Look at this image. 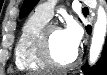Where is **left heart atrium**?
<instances>
[{"instance_id":"left-heart-atrium-1","label":"left heart atrium","mask_w":107,"mask_h":75,"mask_svg":"<svg viewBox=\"0 0 107 75\" xmlns=\"http://www.w3.org/2000/svg\"><path fill=\"white\" fill-rule=\"evenodd\" d=\"M62 34L68 46L74 51H77L82 38L80 26L75 21H68L62 30Z\"/></svg>"}]
</instances>
